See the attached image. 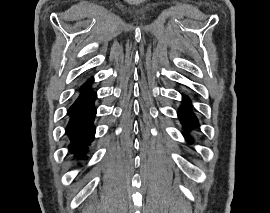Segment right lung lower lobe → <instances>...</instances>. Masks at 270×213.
<instances>
[{
	"instance_id": "obj_1",
	"label": "right lung lower lobe",
	"mask_w": 270,
	"mask_h": 213,
	"mask_svg": "<svg viewBox=\"0 0 270 213\" xmlns=\"http://www.w3.org/2000/svg\"><path fill=\"white\" fill-rule=\"evenodd\" d=\"M91 82L89 80L81 87L78 98L68 110L70 120L66 132L71 139L70 149L80 159H85L87 145L95 134L93 120L96 115L94 101L97 94L88 87Z\"/></svg>"
}]
</instances>
